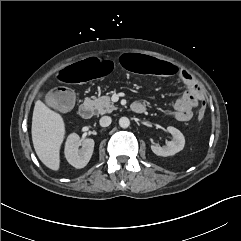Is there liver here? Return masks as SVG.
Listing matches in <instances>:
<instances>
[{"instance_id":"6515ba94","label":"liver","mask_w":241,"mask_h":241,"mask_svg":"<svg viewBox=\"0 0 241 241\" xmlns=\"http://www.w3.org/2000/svg\"><path fill=\"white\" fill-rule=\"evenodd\" d=\"M31 133L38 158L49 169L58 171L60 146L65 136L62 116L37 100L33 110Z\"/></svg>"}]
</instances>
